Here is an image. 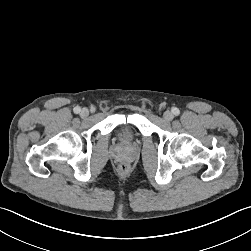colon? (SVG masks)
Listing matches in <instances>:
<instances>
[{"label": "colon", "mask_w": 251, "mask_h": 251, "mask_svg": "<svg viewBox=\"0 0 251 251\" xmlns=\"http://www.w3.org/2000/svg\"><path fill=\"white\" fill-rule=\"evenodd\" d=\"M127 168H128L127 165L124 164V163L120 165V170H121V171H126Z\"/></svg>", "instance_id": "5ec220e1"}]
</instances>
